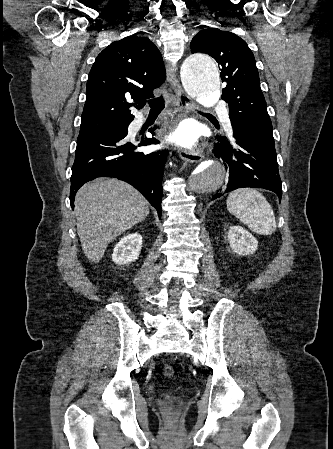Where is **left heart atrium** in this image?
<instances>
[{
    "label": "left heart atrium",
    "instance_id": "39dd6f15",
    "mask_svg": "<svg viewBox=\"0 0 333 449\" xmlns=\"http://www.w3.org/2000/svg\"><path fill=\"white\" fill-rule=\"evenodd\" d=\"M170 139L180 146L189 148L196 142V133L192 126L183 124L175 130Z\"/></svg>",
    "mask_w": 333,
    "mask_h": 449
}]
</instances>
